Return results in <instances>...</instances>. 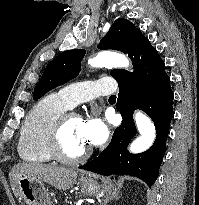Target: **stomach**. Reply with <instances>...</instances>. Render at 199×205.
<instances>
[{"mask_svg": "<svg viewBox=\"0 0 199 205\" xmlns=\"http://www.w3.org/2000/svg\"><path fill=\"white\" fill-rule=\"evenodd\" d=\"M77 185L87 195H97L112 190L113 185L109 179L102 178L100 185L95 175H81ZM19 197L27 205H52L50 194L44 183L36 178L20 176L17 180Z\"/></svg>", "mask_w": 199, "mask_h": 205, "instance_id": "1", "label": "stomach"}]
</instances>
